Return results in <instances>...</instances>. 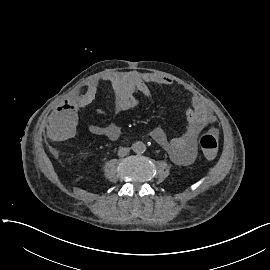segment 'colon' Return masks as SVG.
Wrapping results in <instances>:
<instances>
[{
    "label": "colon",
    "mask_w": 270,
    "mask_h": 270,
    "mask_svg": "<svg viewBox=\"0 0 270 270\" xmlns=\"http://www.w3.org/2000/svg\"><path fill=\"white\" fill-rule=\"evenodd\" d=\"M219 141L214 132L203 134L199 139V146L202 153L207 157H212L218 150Z\"/></svg>",
    "instance_id": "5ec220e1"
}]
</instances>
